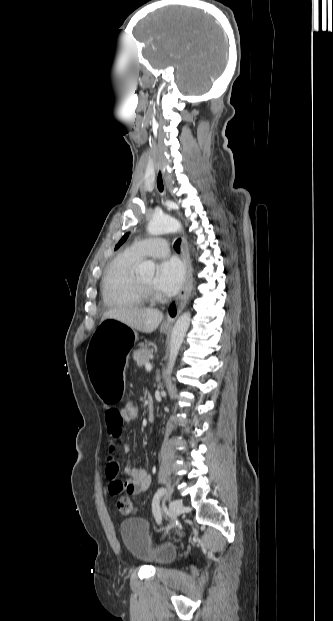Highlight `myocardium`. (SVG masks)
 <instances>
[{
    "instance_id": "f54148a6",
    "label": "myocardium",
    "mask_w": 333,
    "mask_h": 621,
    "mask_svg": "<svg viewBox=\"0 0 333 621\" xmlns=\"http://www.w3.org/2000/svg\"><path fill=\"white\" fill-rule=\"evenodd\" d=\"M136 284L141 292V294L146 298V300L150 301H158L162 299V296L154 289L149 286L144 285L138 279H136Z\"/></svg>"
}]
</instances>
